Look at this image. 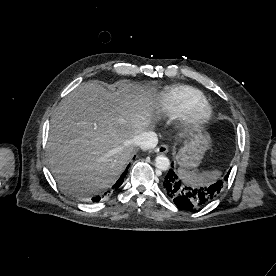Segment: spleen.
<instances>
[{
    "mask_svg": "<svg viewBox=\"0 0 276 276\" xmlns=\"http://www.w3.org/2000/svg\"><path fill=\"white\" fill-rule=\"evenodd\" d=\"M178 173L181 179L192 186L210 185L221 176V172L218 170L195 173L180 169Z\"/></svg>",
    "mask_w": 276,
    "mask_h": 276,
    "instance_id": "spleen-1",
    "label": "spleen"
}]
</instances>
